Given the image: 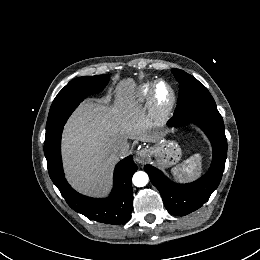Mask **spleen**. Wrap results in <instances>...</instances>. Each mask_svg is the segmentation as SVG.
I'll use <instances>...</instances> for the list:
<instances>
[{
  "mask_svg": "<svg viewBox=\"0 0 260 260\" xmlns=\"http://www.w3.org/2000/svg\"><path fill=\"white\" fill-rule=\"evenodd\" d=\"M173 175L184 178L186 181H192L201 176L202 173V155L195 154L179 164L172 170Z\"/></svg>",
  "mask_w": 260,
  "mask_h": 260,
  "instance_id": "1",
  "label": "spleen"
}]
</instances>
